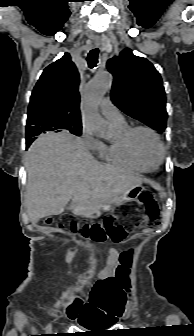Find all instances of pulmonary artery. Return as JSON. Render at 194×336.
<instances>
[{"instance_id":"pulmonary-artery-1","label":"pulmonary artery","mask_w":194,"mask_h":336,"mask_svg":"<svg viewBox=\"0 0 194 336\" xmlns=\"http://www.w3.org/2000/svg\"><path fill=\"white\" fill-rule=\"evenodd\" d=\"M100 108L104 117L112 124H122L125 122L123 116L109 97L103 98L100 103Z\"/></svg>"}]
</instances>
